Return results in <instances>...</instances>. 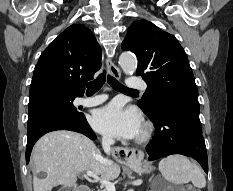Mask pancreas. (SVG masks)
<instances>
[{"mask_svg":"<svg viewBox=\"0 0 233 191\" xmlns=\"http://www.w3.org/2000/svg\"><path fill=\"white\" fill-rule=\"evenodd\" d=\"M99 191H106V189H102V190H99Z\"/></svg>","mask_w":233,"mask_h":191,"instance_id":"pancreas-1","label":"pancreas"}]
</instances>
